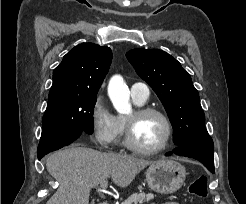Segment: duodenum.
Masks as SVG:
<instances>
[{"instance_id": "410a0bca", "label": "duodenum", "mask_w": 246, "mask_h": 204, "mask_svg": "<svg viewBox=\"0 0 246 204\" xmlns=\"http://www.w3.org/2000/svg\"><path fill=\"white\" fill-rule=\"evenodd\" d=\"M99 204H108L107 202H101V203H99Z\"/></svg>"}]
</instances>
